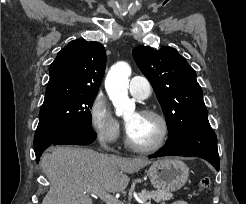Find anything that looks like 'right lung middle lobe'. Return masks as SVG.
Returning <instances> with one entry per match:
<instances>
[{"instance_id":"1","label":"right lung middle lobe","mask_w":246,"mask_h":204,"mask_svg":"<svg viewBox=\"0 0 246 204\" xmlns=\"http://www.w3.org/2000/svg\"><path fill=\"white\" fill-rule=\"evenodd\" d=\"M97 94H70L44 101L34 148L56 142L77 129L92 130L90 109Z\"/></svg>"}]
</instances>
